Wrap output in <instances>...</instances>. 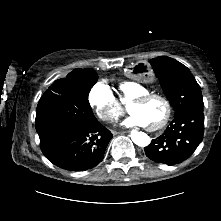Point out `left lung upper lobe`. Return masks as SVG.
I'll use <instances>...</instances> for the list:
<instances>
[{"label": "left lung upper lobe", "instance_id": "left-lung-upper-lobe-1", "mask_svg": "<svg viewBox=\"0 0 221 221\" xmlns=\"http://www.w3.org/2000/svg\"><path fill=\"white\" fill-rule=\"evenodd\" d=\"M150 64L154 67L155 74L175 109V115L204 106L201 88L186 66L165 56L150 60ZM170 147L168 150L173 153L175 143Z\"/></svg>", "mask_w": 221, "mask_h": 221}]
</instances>
